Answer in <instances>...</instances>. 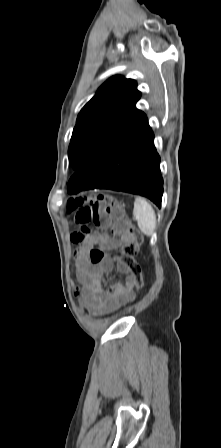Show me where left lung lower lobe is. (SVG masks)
Wrapping results in <instances>:
<instances>
[{
	"label": "left lung lower lobe",
	"mask_w": 221,
	"mask_h": 448,
	"mask_svg": "<svg viewBox=\"0 0 221 448\" xmlns=\"http://www.w3.org/2000/svg\"><path fill=\"white\" fill-rule=\"evenodd\" d=\"M153 140L154 134L147 121L101 163L79 169L68 182V192L111 189L145 196L161 207L163 179Z\"/></svg>",
	"instance_id": "0a47b994"
}]
</instances>
